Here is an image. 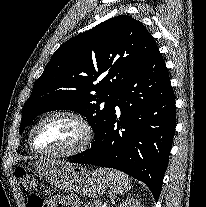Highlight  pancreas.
I'll return each mask as SVG.
<instances>
[{"instance_id": "cf45deb5", "label": "pancreas", "mask_w": 206, "mask_h": 207, "mask_svg": "<svg viewBox=\"0 0 206 207\" xmlns=\"http://www.w3.org/2000/svg\"><path fill=\"white\" fill-rule=\"evenodd\" d=\"M85 207H101V202L99 200L88 202Z\"/></svg>"}]
</instances>
